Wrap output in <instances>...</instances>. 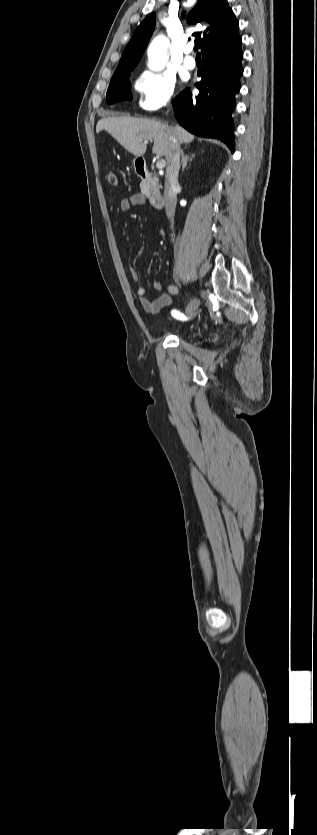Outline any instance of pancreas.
<instances>
[{"label":"pancreas","mask_w":317,"mask_h":835,"mask_svg":"<svg viewBox=\"0 0 317 835\" xmlns=\"http://www.w3.org/2000/svg\"><path fill=\"white\" fill-rule=\"evenodd\" d=\"M159 190V186H153L148 180L141 183V193L149 198L150 201L155 199V195Z\"/></svg>","instance_id":"obj_1"}]
</instances>
